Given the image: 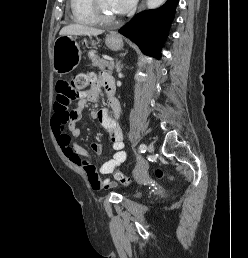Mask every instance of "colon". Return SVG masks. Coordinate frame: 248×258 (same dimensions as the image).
I'll use <instances>...</instances> for the list:
<instances>
[{
  "label": "colon",
  "instance_id": "1",
  "mask_svg": "<svg viewBox=\"0 0 248 258\" xmlns=\"http://www.w3.org/2000/svg\"><path fill=\"white\" fill-rule=\"evenodd\" d=\"M95 80V76L91 73H77L72 82V88H71V93H72V98H75L79 95L81 91H83L85 88H87L91 83H93ZM155 176L157 178H163L166 176V173L164 170L157 168L155 170ZM114 178L124 184L129 183V178L124 175L123 173L119 171L114 172Z\"/></svg>",
  "mask_w": 248,
  "mask_h": 258
}]
</instances>
